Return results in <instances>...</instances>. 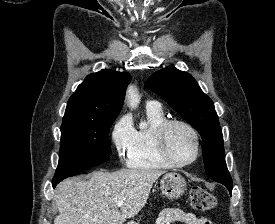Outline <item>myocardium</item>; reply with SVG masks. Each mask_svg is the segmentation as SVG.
<instances>
[{
    "label": "myocardium",
    "instance_id": "f54148a6",
    "mask_svg": "<svg viewBox=\"0 0 275 224\" xmlns=\"http://www.w3.org/2000/svg\"><path fill=\"white\" fill-rule=\"evenodd\" d=\"M179 125L186 128L192 135L195 143V151L193 157L185 162L176 161L169 153L166 139L169 129L172 126ZM154 144L158 152L159 157L168 165L174 168H184L193 164L201 152L200 137L197 130L189 122L182 119H167L161 123L154 133Z\"/></svg>",
    "mask_w": 275,
    "mask_h": 224
}]
</instances>
